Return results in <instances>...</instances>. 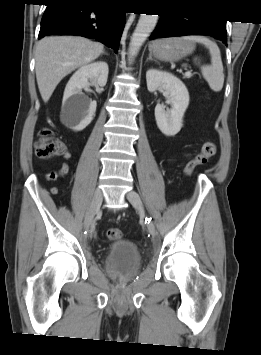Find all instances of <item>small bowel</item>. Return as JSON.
<instances>
[{
	"label": "small bowel",
	"mask_w": 261,
	"mask_h": 355,
	"mask_svg": "<svg viewBox=\"0 0 261 355\" xmlns=\"http://www.w3.org/2000/svg\"><path fill=\"white\" fill-rule=\"evenodd\" d=\"M69 157H70V153H66L65 158H69ZM68 172H69V165L66 162H63L56 171L47 173L45 177L46 180L48 181H54L59 177L66 175ZM52 191L56 192L57 188L56 187L52 188Z\"/></svg>",
	"instance_id": "small-bowel-1"
}]
</instances>
